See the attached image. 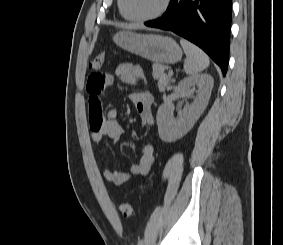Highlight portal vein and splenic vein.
Listing matches in <instances>:
<instances>
[{
    "instance_id": "18ae733b",
    "label": "portal vein and splenic vein",
    "mask_w": 283,
    "mask_h": 245,
    "mask_svg": "<svg viewBox=\"0 0 283 245\" xmlns=\"http://www.w3.org/2000/svg\"><path fill=\"white\" fill-rule=\"evenodd\" d=\"M168 74H169V75H172V74H173V70H172V69H169Z\"/></svg>"
}]
</instances>
